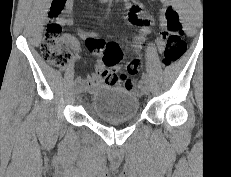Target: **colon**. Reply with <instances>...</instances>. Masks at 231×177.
<instances>
[{
	"label": "colon",
	"instance_id": "1",
	"mask_svg": "<svg viewBox=\"0 0 231 177\" xmlns=\"http://www.w3.org/2000/svg\"><path fill=\"white\" fill-rule=\"evenodd\" d=\"M60 13V5L58 0H54L51 7L52 20L48 23L41 46V52L44 59L53 67L62 68L70 60L71 54L65 46V41L61 35V25L57 21ZM165 30L161 33V39L164 42V66H170L177 61L186 51V41L184 32L178 13L171 7L166 8L164 13ZM143 39H140V44ZM87 48L91 52H101L102 61L106 66H115L123 59V51L121 47L114 42L106 43L101 38L87 37ZM140 68V60L134 59L126 66L127 77L122 84L130 90H136L137 85L129 78L128 75H134ZM112 83H119L120 75L115 73L108 76Z\"/></svg>",
	"mask_w": 231,
	"mask_h": 177
}]
</instances>
